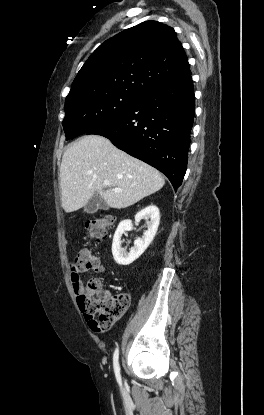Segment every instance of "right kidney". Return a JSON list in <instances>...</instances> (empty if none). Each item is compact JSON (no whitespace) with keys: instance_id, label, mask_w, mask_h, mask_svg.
I'll list each match as a JSON object with an SVG mask.
<instances>
[{"instance_id":"ca27d5eb","label":"right kidney","mask_w":264,"mask_h":415,"mask_svg":"<svg viewBox=\"0 0 264 415\" xmlns=\"http://www.w3.org/2000/svg\"><path fill=\"white\" fill-rule=\"evenodd\" d=\"M141 219H150L147 224V230L144 232L141 238H137L134 241V247L131 248L130 252L127 253L121 247V237L125 231L131 230L133 225L131 220H123L118 225L112 243V254L115 262L119 265H129L138 259L144 251L148 248L150 243L153 241L156 232L158 230L160 222L159 209L154 205H149L135 216V220L139 222Z\"/></svg>"}]
</instances>
